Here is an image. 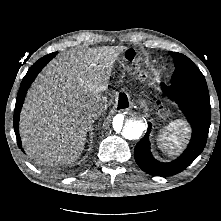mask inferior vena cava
Here are the masks:
<instances>
[{
	"label": "inferior vena cava",
	"instance_id": "1",
	"mask_svg": "<svg viewBox=\"0 0 221 221\" xmlns=\"http://www.w3.org/2000/svg\"><path fill=\"white\" fill-rule=\"evenodd\" d=\"M102 108H103V106L101 104V105H99L98 108L93 109L92 112H91L92 117L95 118V119L100 118L101 115H102V112H101Z\"/></svg>",
	"mask_w": 221,
	"mask_h": 221
}]
</instances>
